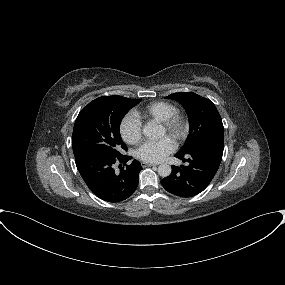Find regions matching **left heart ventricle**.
<instances>
[{
    "instance_id": "b2bd125f",
    "label": "left heart ventricle",
    "mask_w": 285,
    "mask_h": 285,
    "mask_svg": "<svg viewBox=\"0 0 285 285\" xmlns=\"http://www.w3.org/2000/svg\"><path fill=\"white\" fill-rule=\"evenodd\" d=\"M164 134H166V131L163 127H161V135H164Z\"/></svg>"
}]
</instances>
